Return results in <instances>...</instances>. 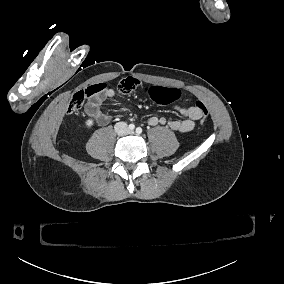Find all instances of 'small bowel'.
Masks as SVG:
<instances>
[{"instance_id": "small-bowel-1", "label": "small bowel", "mask_w": 284, "mask_h": 284, "mask_svg": "<svg viewBox=\"0 0 284 284\" xmlns=\"http://www.w3.org/2000/svg\"><path fill=\"white\" fill-rule=\"evenodd\" d=\"M112 97L114 95V91L112 89L103 88L101 93L94 99L90 101V109L98 108V106L102 103L103 97ZM174 111L181 115L182 117L186 118L183 121H169L167 122L168 127L176 132L180 133H188L194 129L195 121L200 120L203 118L204 111L207 109L206 105L202 102H199L196 106L191 108L182 107L179 105H175L173 107ZM97 116L102 123H106L109 121L110 116L100 110H97ZM165 124V119L161 118L158 119L156 117H150L147 120V124L150 127H154L158 124Z\"/></svg>"}]
</instances>
